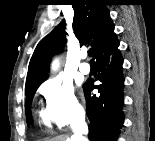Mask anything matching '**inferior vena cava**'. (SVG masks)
I'll return each mask as SVG.
<instances>
[{"label": "inferior vena cava", "instance_id": "602c4592", "mask_svg": "<svg viewBox=\"0 0 155 141\" xmlns=\"http://www.w3.org/2000/svg\"><path fill=\"white\" fill-rule=\"evenodd\" d=\"M84 122V118H81L80 122L73 126L74 135L71 138V141H81L83 139L82 134L86 132V127L81 125Z\"/></svg>", "mask_w": 155, "mask_h": 141}]
</instances>
